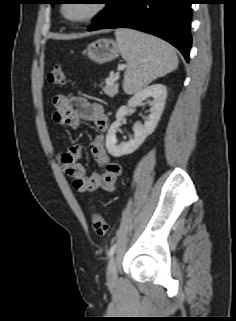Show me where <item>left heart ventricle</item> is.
Listing matches in <instances>:
<instances>
[{
  "mask_svg": "<svg viewBox=\"0 0 236 321\" xmlns=\"http://www.w3.org/2000/svg\"><path fill=\"white\" fill-rule=\"evenodd\" d=\"M91 8L90 1H75L71 3L67 9L70 17H79L86 14Z\"/></svg>",
  "mask_w": 236,
  "mask_h": 321,
  "instance_id": "left-heart-ventricle-1",
  "label": "left heart ventricle"
}]
</instances>
